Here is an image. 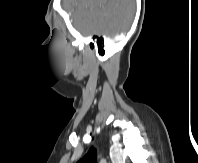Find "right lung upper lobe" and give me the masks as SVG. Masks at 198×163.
<instances>
[{
  "mask_svg": "<svg viewBox=\"0 0 198 163\" xmlns=\"http://www.w3.org/2000/svg\"><path fill=\"white\" fill-rule=\"evenodd\" d=\"M97 152L96 149L91 147L87 154L82 157L77 163H97Z\"/></svg>",
  "mask_w": 198,
  "mask_h": 163,
  "instance_id": "right-lung-upper-lobe-1",
  "label": "right lung upper lobe"
}]
</instances>
